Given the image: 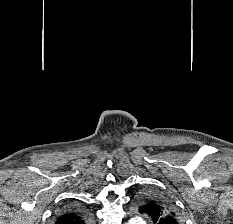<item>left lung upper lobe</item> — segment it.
<instances>
[{"mask_svg": "<svg viewBox=\"0 0 233 224\" xmlns=\"http://www.w3.org/2000/svg\"><path fill=\"white\" fill-rule=\"evenodd\" d=\"M137 209L147 214L154 224H183L175 204L157 191H145L137 198Z\"/></svg>", "mask_w": 233, "mask_h": 224, "instance_id": "1", "label": "left lung upper lobe"}]
</instances>
